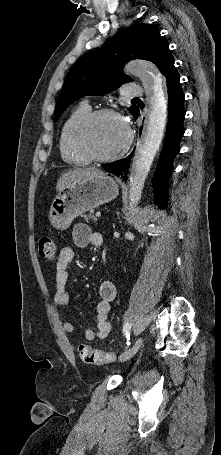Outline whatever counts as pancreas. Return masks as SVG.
Listing matches in <instances>:
<instances>
[{"instance_id":"cf45deb5","label":"pancreas","mask_w":221,"mask_h":455,"mask_svg":"<svg viewBox=\"0 0 221 455\" xmlns=\"http://www.w3.org/2000/svg\"><path fill=\"white\" fill-rule=\"evenodd\" d=\"M93 213H94L93 211H90L88 215H85V216H84V219H85L86 221L91 220L92 222H96V218H95V216L93 215Z\"/></svg>"}]
</instances>
